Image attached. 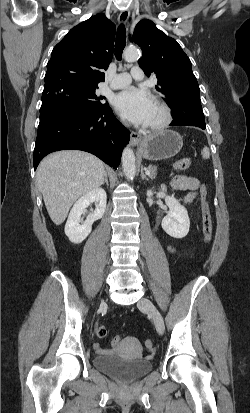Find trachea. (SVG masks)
I'll return each mask as SVG.
<instances>
[{
	"instance_id": "obj_1",
	"label": "trachea",
	"mask_w": 250,
	"mask_h": 413,
	"mask_svg": "<svg viewBox=\"0 0 250 413\" xmlns=\"http://www.w3.org/2000/svg\"><path fill=\"white\" fill-rule=\"evenodd\" d=\"M126 45V31L123 24L119 25L117 29L116 41H115V57L118 61L122 59L123 49Z\"/></svg>"
}]
</instances>
